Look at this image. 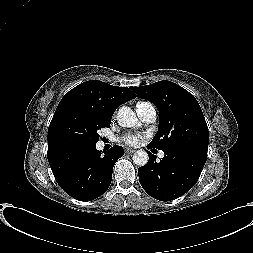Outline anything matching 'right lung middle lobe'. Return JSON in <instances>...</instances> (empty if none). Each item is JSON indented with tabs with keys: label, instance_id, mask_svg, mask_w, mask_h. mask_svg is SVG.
Instances as JSON below:
<instances>
[{
	"label": "right lung middle lobe",
	"instance_id": "obj_1",
	"mask_svg": "<svg viewBox=\"0 0 253 253\" xmlns=\"http://www.w3.org/2000/svg\"><path fill=\"white\" fill-rule=\"evenodd\" d=\"M111 120L78 109H66L53 116L48 129V151L68 146L95 145L98 131Z\"/></svg>",
	"mask_w": 253,
	"mask_h": 253
}]
</instances>
